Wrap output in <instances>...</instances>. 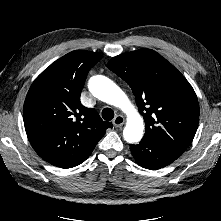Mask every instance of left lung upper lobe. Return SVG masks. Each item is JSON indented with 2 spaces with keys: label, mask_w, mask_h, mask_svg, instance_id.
<instances>
[{
  "label": "left lung upper lobe",
  "mask_w": 221,
  "mask_h": 221,
  "mask_svg": "<svg viewBox=\"0 0 221 221\" xmlns=\"http://www.w3.org/2000/svg\"><path fill=\"white\" fill-rule=\"evenodd\" d=\"M107 67L131 87L145 121L143 139L182 154L199 121L198 99L186 78L151 49L113 57Z\"/></svg>",
  "instance_id": "obj_1"
}]
</instances>
